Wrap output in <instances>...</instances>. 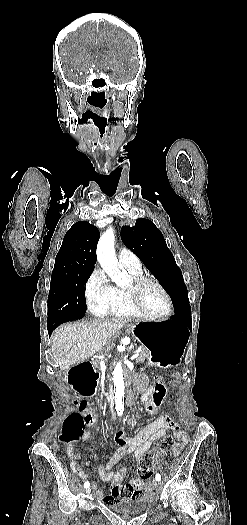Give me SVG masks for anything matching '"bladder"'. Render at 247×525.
I'll return each instance as SVG.
<instances>
[{"label": "bladder", "mask_w": 247, "mask_h": 525, "mask_svg": "<svg viewBox=\"0 0 247 525\" xmlns=\"http://www.w3.org/2000/svg\"><path fill=\"white\" fill-rule=\"evenodd\" d=\"M151 501L146 494L140 497L125 498L120 501L105 503L106 508L118 516H138L151 508Z\"/></svg>", "instance_id": "31cf9c89"}]
</instances>
